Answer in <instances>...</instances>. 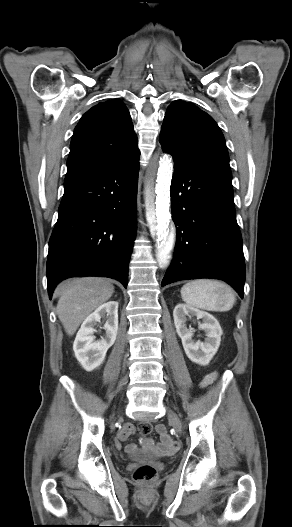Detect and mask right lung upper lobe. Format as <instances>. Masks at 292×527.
I'll list each match as a JSON object with an SVG mask.
<instances>
[{"mask_svg": "<svg viewBox=\"0 0 292 527\" xmlns=\"http://www.w3.org/2000/svg\"><path fill=\"white\" fill-rule=\"evenodd\" d=\"M130 113L120 100L99 103L77 124L67 168L115 163L139 154Z\"/></svg>", "mask_w": 292, "mask_h": 527, "instance_id": "obj_1", "label": "right lung upper lobe"}]
</instances>
